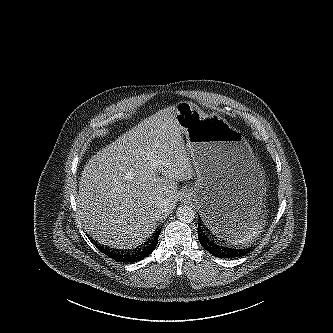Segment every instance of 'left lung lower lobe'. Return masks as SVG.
Here are the masks:
<instances>
[{
    "label": "left lung lower lobe",
    "mask_w": 333,
    "mask_h": 333,
    "mask_svg": "<svg viewBox=\"0 0 333 333\" xmlns=\"http://www.w3.org/2000/svg\"><path fill=\"white\" fill-rule=\"evenodd\" d=\"M198 239L200 244L215 257L232 258L246 253V251L242 249L238 250L226 247L222 244L221 239L216 236V233L203 224H198Z\"/></svg>",
    "instance_id": "obj_1"
}]
</instances>
